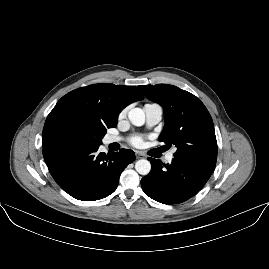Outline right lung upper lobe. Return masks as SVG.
<instances>
[{
	"label": "right lung upper lobe",
	"instance_id": "1",
	"mask_svg": "<svg viewBox=\"0 0 269 269\" xmlns=\"http://www.w3.org/2000/svg\"><path fill=\"white\" fill-rule=\"evenodd\" d=\"M143 98L134 86L94 84L73 90L63 96L48 115L42 144L64 142L59 125L65 119L93 120L106 129L114 128L121 110Z\"/></svg>",
	"mask_w": 269,
	"mask_h": 269
}]
</instances>
